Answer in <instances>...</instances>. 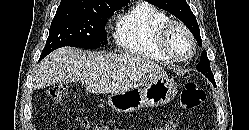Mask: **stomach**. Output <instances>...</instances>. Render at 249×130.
Segmentation results:
<instances>
[{
	"label": "stomach",
	"instance_id": "stomach-1",
	"mask_svg": "<svg viewBox=\"0 0 249 130\" xmlns=\"http://www.w3.org/2000/svg\"><path fill=\"white\" fill-rule=\"evenodd\" d=\"M177 92V84L168 78L148 82L143 88L113 93L108 105L117 112L130 113L143 107H157L169 103Z\"/></svg>",
	"mask_w": 249,
	"mask_h": 130
}]
</instances>
